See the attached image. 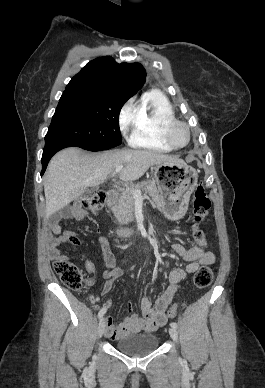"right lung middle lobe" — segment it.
<instances>
[{"mask_svg":"<svg viewBox=\"0 0 265 388\" xmlns=\"http://www.w3.org/2000/svg\"><path fill=\"white\" fill-rule=\"evenodd\" d=\"M128 99L113 93H63L45 136V148L69 144L100 151L120 145L119 113Z\"/></svg>","mask_w":265,"mask_h":388,"instance_id":"right-lung-middle-lobe-1","label":"right lung middle lobe"}]
</instances>
